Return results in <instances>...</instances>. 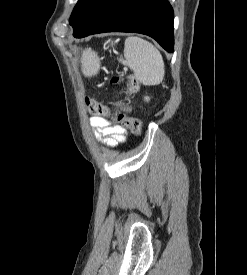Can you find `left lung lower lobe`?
Here are the masks:
<instances>
[{"mask_svg": "<svg viewBox=\"0 0 247 275\" xmlns=\"http://www.w3.org/2000/svg\"><path fill=\"white\" fill-rule=\"evenodd\" d=\"M174 14L168 0H101L76 38L103 32H136L155 39L167 52L174 51Z\"/></svg>", "mask_w": 247, "mask_h": 275, "instance_id": "1", "label": "left lung lower lobe"}]
</instances>
